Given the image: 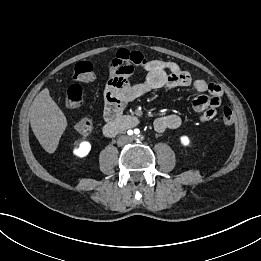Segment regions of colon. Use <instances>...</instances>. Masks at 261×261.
<instances>
[{
  "label": "colon",
  "mask_w": 261,
  "mask_h": 261,
  "mask_svg": "<svg viewBox=\"0 0 261 261\" xmlns=\"http://www.w3.org/2000/svg\"><path fill=\"white\" fill-rule=\"evenodd\" d=\"M114 63L122 66L128 70L133 67L145 66L148 61L143 54L136 51H128L125 49L119 50L113 60ZM94 78V67L91 62L81 61L75 65L74 79L77 82H89ZM84 93L80 84L75 83L71 85L66 93L65 105L69 108H75L79 106L83 101ZM235 116L232 110L228 107H224L222 110V121L225 125H232L234 123ZM93 128V124L88 118H81L75 124V130L80 135H88Z\"/></svg>",
  "instance_id": "colon-1"
}]
</instances>
